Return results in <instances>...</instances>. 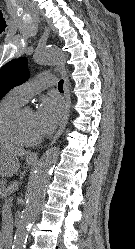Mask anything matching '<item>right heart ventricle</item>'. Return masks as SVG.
<instances>
[{
  "label": "right heart ventricle",
  "instance_id": "right-heart-ventricle-1",
  "mask_svg": "<svg viewBox=\"0 0 135 249\" xmlns=\"http://www.w3.org/2000/svg\"><path fill=\"white\" fill-rule=\"evenodd\" d=\"M23 101L18 99L12 92L7 94L0 101V145H17L15 138L5 129L3 121L5 116L13 109L23 105Z\"/></svg>",
  "mask_w": 135,
  "mask_h": 249
}]
</instances>
